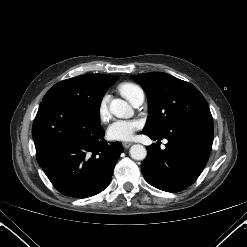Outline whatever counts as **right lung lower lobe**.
<instances>
[{
    "label": "right lung lower lobe",
    "mask_w": 247,
    "mask_h": 247,
    "mask_svg": "<svg viewBox=\"0 0 247 247\" xmlns=\"http://www.w3.org/2000/svg\"><path fill=\"white\" fill-rule=\"evenodd\" d=\"M32 135L36 158L62 194L86 198L103 191L123 151L106 143L100 117L59 102L41 103Z\"/></svg>",
    "instance_id": "right-lung-lower-lobe-1"
}]
</instances>
